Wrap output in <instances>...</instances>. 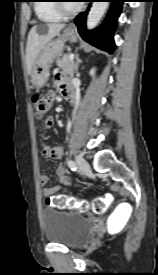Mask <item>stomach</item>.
Returning a JSON list of instances; mask_svg holds the SVG:
<instances>
[{
  "mask_svg": "<svg viewBox=\"0 0 158 275\" xmlns=\"http://www.w3.org/2000/svg\"><path fill=\"white\" fill-rule=\"evenodd\" d=\"M76 42L77 33L66 28L58 38L43 46L31 69V81L36 89L42 88L48 80L52 62L63 54L65 42Z\"/></svg>",
  "mask_w": 158,
  "mask_h": 275,
  "instance_id": "stomach-1",
  "label": "stomach"
}]
</instances>
